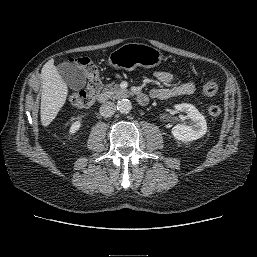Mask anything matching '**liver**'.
<instances>
[{
    "mask_svg": "<svg viewBox=\"0 0 257 257\" xmlns=\"http://www.w3.org/2000/svg\"><path fill=\"white\" fill-rule=\"evenodd\" d=\"M42 94L40 116L43 126H48L66 102L68 87L54 61L49 60L42 68Z\"/></svg>",
    "mask_w": 257,
    "mask_h": 257,
    "instance_id": "1",
    "label": "liver"
}]
</instances>
